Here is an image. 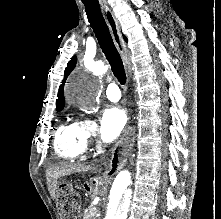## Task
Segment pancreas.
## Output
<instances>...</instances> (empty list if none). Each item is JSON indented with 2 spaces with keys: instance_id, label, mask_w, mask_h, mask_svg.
Masks as SVG:
<instances>
[{
  "instance_id": "1",
  "label": "pancreas",
  "mask_w": 221,
  "mask_h": 219,
  "mask_svg": "<svg viewBox=\"0 0 221 219\" xmlns=\"http://www.w3.org/2000/svg\"><path fill=\"white\" fill-rule=\"evenodd\" d=\"M95 214L96 210H94V207L89 206L84 210L83 219H94Z\"/></svg>"
}]
</instances>
